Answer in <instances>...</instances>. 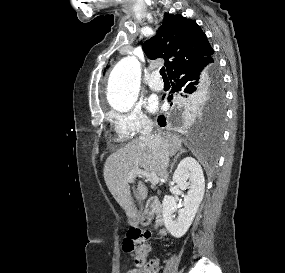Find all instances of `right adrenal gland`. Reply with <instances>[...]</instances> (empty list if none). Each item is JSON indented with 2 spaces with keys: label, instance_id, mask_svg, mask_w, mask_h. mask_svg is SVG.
<instances>
[{
  "label": "right adrenal gland",
  "instance_id": "2a0ac1e0",
  "mask_svg": "<svg viewBox=\"0 0 285 273\" xmlns=\"http://www.w3.org/2000/svg\"><path fill=\"white\" fill-rule=\"evenodd\" d=\"M185 152H187V150L182 149V150H180V152L175 156V158H174V160H173V163L171 164L170 172H172V169H173L175 163L177 162V159L179 158V156H180L181 154L185 153Z\"/></svg>",
  "mask_w": 285,
  "mask_h": 273
}]
</instances>
